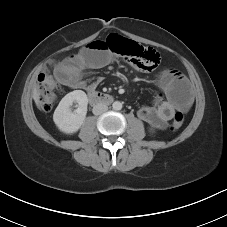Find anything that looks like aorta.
<instances>
[{
	"label": "aorta",
	"mask_w": 227,
	"mask_h": 227,
	"mask_svg": "<svg viewBox=\"0 0 227 227\" xmlns=\"http://www.w3.org/2000/svg\"><path fill=\"white\" fill-rule=\"evenodd\" d=\"M112 107L114 110H121L122 109V103L119 102V101H115L113 104H112Z\"/></svg>",
	"instance_id": "1"
}]
</instances>
